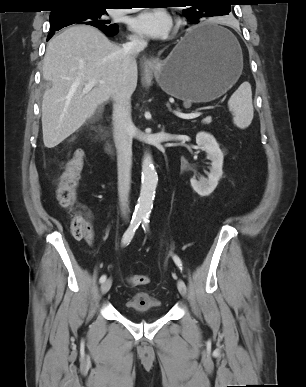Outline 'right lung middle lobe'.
<instances>
[{
    "label": "right lung middle lobe",
    "instance_id": "dd1d6c3e",
    "mask_svg": "<svg viewBox=\"0 0 306 387\" xmlns=\"http://www.w3.org/2000/svg\"><path fill=\"white\" fill-rule=\"evenodd\" d=\"M107 14L105 8L99 6H73L61 8L59 12L50 14L51 32L60 30L72 24L92 25L100 30L117 28L109 20H104L103 15Z\"/></svg>",
    "mask_w": 306,
    "mask_h": 387
}]
</instances>
